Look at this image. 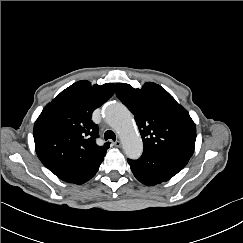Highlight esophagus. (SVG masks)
I'll list each match as a JSON object with an SVG mask.
<instances>
[{
    "label": "esophagus",
    "mask_w": 243,
    "mask_h": 243,
    "mask_svg": "<svg viewBox=\"0 0 243 243\" xmlns=\"http://www.w3.org/2000/svg\"><path fill=\"white\" fill-rule=\"evenodd\" d=\"M114 145H115V147H120L121 146V142L120 141H115Z\"/></svg>",
    "instance_id": "obj_1"
}]
</instances>
